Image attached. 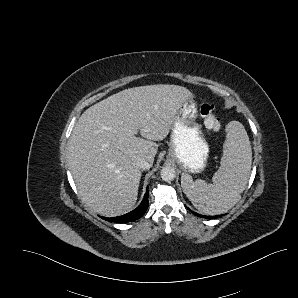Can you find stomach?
Instances as JSON below:
<instances>
[{"instance_id": "obj_1", "label": "stomach", "mask_w": 298, "mask_h": 298, "mask_svg": "<svg viewBox=\"0 0 298 298\" xmlns=\"http://www.w3.org/2000/svg\"><path fill=\"white\" fill-rule=\"evenodd\" d=\"M197 117V102L188 99L180 105L171 126L167 158L184 173H202L209 158L210 146Z\"/></svg>"}]
</instances>
